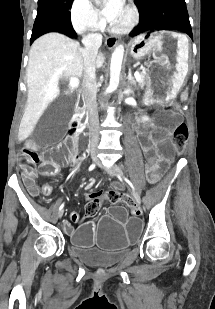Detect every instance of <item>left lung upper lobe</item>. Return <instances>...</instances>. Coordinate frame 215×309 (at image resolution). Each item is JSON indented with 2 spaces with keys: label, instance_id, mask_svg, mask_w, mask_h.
Segmentation results:
<instances>
[{
  "label": "left lung upper lobe",
  "instance_id": "5c2ea615",
  "mask_svg": "<svg viewBox=\"0 0 215 309\" xmlns=\"http://www.w3.org/2000/svg\"><path fill=\"white\" fill-rule=\"evenodd\" d=\"M139 8L140 23L131 36L148 30H178L192 39L185 0H134Z\"/></svg>",
  "mask_w": 215,
  "mask_h": 309
}]
</instances>
